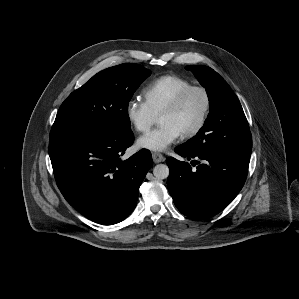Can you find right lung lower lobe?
<instances>
[{"label": "right lung lower lobe", "mask_w": 299, "mask_h": 299, "mask_svg": "<svg viewBox=\"0 0 299 299\" xmlns=\"http://www.w3.org/2000/svg\"><path fill=\"white\" fill-rule=\"evenodd\" d=\"M133 142L131 130L50 132L54 177L67 202L99 224L124 220L135 208L139 187L153 164L147 149L120 158Z\"/></svg>", "instance_id": "right-lung-lower-lobe-1"}]
</instances>
